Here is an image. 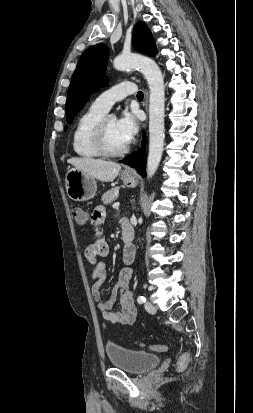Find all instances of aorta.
<instances>
[{
    "mask_svg": "<svg viewBox=\"0 0 253 413\" xmlns=\"http://www.w3.org/2000/svg\"><path fill=\"white\" fill-rule=\"evenodd\" d=\"M117 70L138 69L146 78L149 89V153L147 178H152L161 161L164 148L165 90L162 72L155 61L138 55H119L113 61Z\"/></svg>",
    "mask_w": 253,
    "mask_h": 413,
    "instance_id": "762f6f07",
    "label": "aorta"
}]
</instances>
